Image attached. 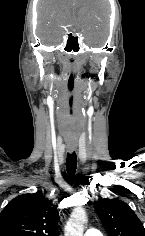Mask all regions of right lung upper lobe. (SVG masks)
<instances>
[{"label":"right lung upper lobe","instance_id":"right-lung-upper-lobe-1","mask_svg":"<svg viewBox=\"0 0 145 236\" xmlns=\"http://www.w3.org/2000/svg\"><path fill=\"white\" fill-rule=\"evenodd\" d=\"M58 210L40 192L19 195L0 213V236H58Z\"/></svg>","mask_w":145,"mask_h":236}]
</instances>
